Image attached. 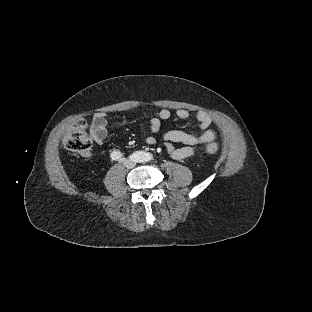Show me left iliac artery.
Returning a JSON list of instances; mask_svg holds the SVG:
<instances>
[{"instance_id": "obj_1", "label": "left iliac artery", "mask_w": 312, "mask_h": 312, "mask_svg": "<svg viewBox=\"0 0 312 312\" xmlns=\"http://www.w3.org/2000/svg\"><path fill=\"white\" fill-rule=\"evenodd\" d=\"M145 157H146V154L144 153H138V159H139V161H143L144 159H145Z\"/></svg>"}]
</instances>
